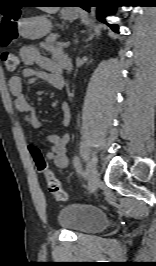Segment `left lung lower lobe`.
Masks as SVG:
<instances>
[{
  "instance_id": "0a47b994",
  "label": "left lung lower lobe",
  "mask_w": 156,
  "mask_h": 266,
  "mask_svg": "<svg viewBox=\"0 0 156 266\" xmlns=\"http://www.w3.org/2000/svg\"><path fill=\"white\" fill-rule=\"evenodd\" d=\"M63 3L62 1L59 2ZM77 6L83 7L85 10L89 11V6H98V18L100 21L105 22L104 17L106 15L112 14L119 3L118 0H76ZM113 31L118 33L117 25H109Z\"/></svg>"
}]
</instances>
